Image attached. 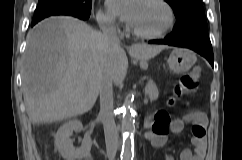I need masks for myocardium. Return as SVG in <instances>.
Here are the masks:
<instances>
[{
  "label": "myocardium",
  "mask_w": 242,
  "mask_h": 160,
  "mask_svg": "<svg viewBox=\"0 0 242 160\" xmlns=\"http://www.w3.org/2000/svg\"><path fill=\"white\" fill-rule=\"evenodd\" d=\"M152 1L162 5L167 10L168 21L161 30L154 33H144L136 30L131 25H129V30L131 31V33L138 38L146 39V40H153V39L160 38L165 34H167L173 28L176 22V14H175L174 8L167 0H152Z\"/></svg>",
  "instance_id": "myocardium-1"
}]
</instances>
